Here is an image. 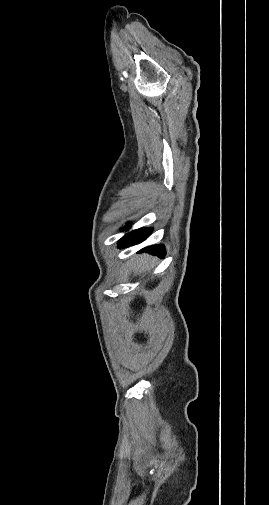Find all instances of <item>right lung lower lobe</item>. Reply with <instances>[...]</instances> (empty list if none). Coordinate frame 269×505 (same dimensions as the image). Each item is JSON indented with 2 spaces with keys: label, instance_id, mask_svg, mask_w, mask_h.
Masks as SVG:
<instances>
[{
  "label": "right lung lower lobe",
  "instance_id": "98d812e1",
  "mask_svg": "<svg viewBox=\"0 0 269 505\" xmlns=\"http://www.w3.org/2000/svg\"><path fill=\"white\" fill-rule=\"evenodd\" d=\"M151 231H152L151 228L150 229L141 228V229L134 230V231L126 234L124 237H122L118 242V246H119V248H125V247H129V246L138 244V243L144 241L149 236ZM144 250L146 252L158 255L160 257H163L165 255V249L162 245L149 246V247H146Z\"/></svg>",
  "mask_w": 269,
  "mask_h": 505
}]
</instances>
